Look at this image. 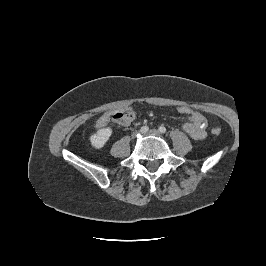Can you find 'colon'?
Listing matches in <instances>:
<instances>
[{
    "label": "colon",
    "mask_w": 266,
    "mask_h": 266,
    "mask_svg": "<svg viewBox=\"0 0 266 266\" xmlns=\"http://www.w3.org/2000/svg\"><path fill=\"white\" fill-rule=\"evenodd\" d=\"M178 113H180L181 115L190 117L191 115H193L195 113V111L187 105H180L177 108ZM135 115L134 110L132 109H126V110H122V111H117L115 113H113L111 115V118L114 122L119 123V124H124L127 121L131 120ZM221 133V129L220 128H213L212 129V134L214 135H219Z\"/></svg>",
    "instance_id": "obj_1"
}]
</instances>
